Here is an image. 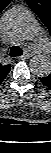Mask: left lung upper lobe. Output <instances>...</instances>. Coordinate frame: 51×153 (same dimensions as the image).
<instances>
[{"label": "left lung upper lobe", "mask_w": 51, "mask_h": 153, "mask_svg": "<svg viewBox=\"0 0 51 153\" xmlns=\"http://www.w3.org/2000/svg\"><path fill=\"white\" fill-rule=\"evenodd\" d=\"M29 7L39 16L51 35V0H26ZM51 76V74L49 75Z\"/></svg>", "instance_id": "obj_1"}]
</instances>
